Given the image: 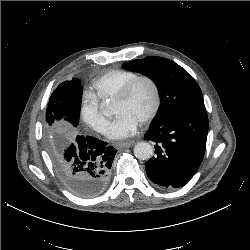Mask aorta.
I'll return each instance as SVG.
<instances>
[{"instance_id":"762f6f07","label":"aorta","mask_w":250,"mask_h":250,"mask_svg":"<svg viewBox=\"0 0 250 250\" xmlns=\"http://www.w3.org/2000/svg\"><path fill=\"white\" fill-rule=\"evenodd\" d=\"M134 155L140 160H148L153 155V148L147 142H138L134 147Z\"/></svg>"}]
</instances>
